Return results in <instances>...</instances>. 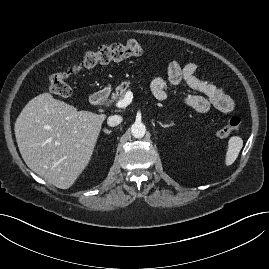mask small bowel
I'll use <instances>...</instances> for the list:
<instances>
[{
  "instance_id": "small-bowel-1",
  "label": "small bowel",
  "mask_w": 269,
  "mask_h": 269,
  "mask_svg": "<svg viewBox=\"0 0 269 269\" xmlns=\"http://www.w3.org/2000/svg\"><path fill=\"white\" fill-rule=\"evenodd\" d=\"M196 72L195 63L181 65L177 61H171L167 67V79L161 77L153 79L151 90L158 100H164L168 83L176 85L185 82L199 93L187 95L182 99L187 107L200 113L208 112L211 108L223 113L232 111L234 108L232 98L214 84L198 78Z\"/></svg>"
}]
</instances>
